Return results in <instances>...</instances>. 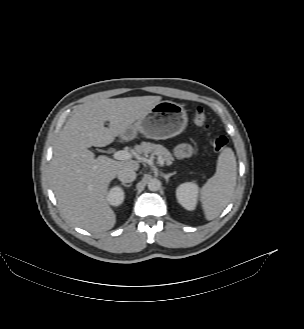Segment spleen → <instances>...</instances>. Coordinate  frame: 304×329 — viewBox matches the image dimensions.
<instances>
[{
	"label": "spleen",
	"instance_id": "obj_1",
	"mask_svg": "<svg viewBox=\"0 0 304 329\" xmlns=\"http://www.w3.org/2000/svg\"><path fill=\"white\" fill-rule=\"evenodd\" d=\"M236 178V157L231 148H224L218 157L216 173L201 189V202L207 220L218 217L229 204L236 186Z\"/></svg>",
	"mask_w": 304,
	"mask_h": 329
}]
</instances>
